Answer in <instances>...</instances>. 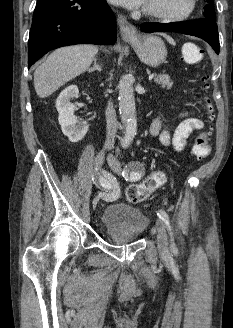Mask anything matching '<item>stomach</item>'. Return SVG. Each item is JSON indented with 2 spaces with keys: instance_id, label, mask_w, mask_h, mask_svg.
I'll return each instance as SVG.
<instances>
[{
  "instance_id": "stomach-1",
  "label": "stomach",
  "mask_w": 233,
  "mask_h": 328,
  "mask_svg": "<svg viewBox=\"0 0 233 328\" xmlns=\"http://www.w3.org/2000/svg\"><path fill=\"white\" fill-rule=\"evenodd\" d=\"M142 62L156 67L167 57V49L163 40L156 35H142L128 39Z\"/></svg>"
}]
</instances>
